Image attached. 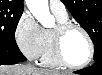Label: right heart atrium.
I'll return each instance as SVG.
<instances>
[{
    "instance_id": "d8ad5b80",
    "label": "right heart atrium",
    "mask_w": 102,
    "mask_h": 75,
    "mask_svg": "<svg viewBox=\"0 0 102 75\" xmlns=\"http://www.w3.org/2000/svg\"><path fill=\"white\" fill-rule=\"evenodd\" d=\"M14 37L21 51L30 60H37L42 54V29L29 12H24L14 30Z\"/></svg>"
}]
</instances>
